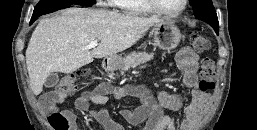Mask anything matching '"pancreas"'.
<instances>
[{"label": "pancreas", "instance_id": "cf45deb5", "mask_svg": "<svg viewBox=\"0 0 257 130\" xmlns=\"http://www.w3.org/2000/svg\"><path fill=\"white\" fill-rule=\"evenodd\" d=\"M153 57H154V54H148L146 52L130 53L122 61L121 75H123L124 72L130 68H135L141 64H145L146 62L153 59Z\"/></svg>", "mask_w": 257, "mask_h": 130}]
</instances>
